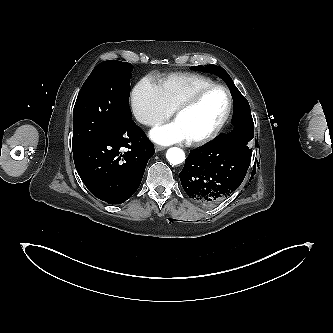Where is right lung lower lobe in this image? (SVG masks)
Returning a JSON list of instances; mask_svg holds the SVG:
<instances>
[{
  "label": "right lung lower lobe",
  "mask_w": 333,
  "mask_h": 333,
  "mask_svg": "<svg viewBox=\"0 0 333 333\" xmlns=\"http://www.w3.org/2000/svg\"><path fill=\"white\" fill-rule=\"evenodd\" d=\"M154 145L130 119L89 145L73 151L76 170L97 198L120 204L138 189Z\"/></svg>",
  "instance_id": "1"
}]
</instances>
